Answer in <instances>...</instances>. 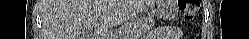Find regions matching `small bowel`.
Returning a JSON list of instances; mask_svg holds the SVG:
<instances>
[{
	"label": "small bowel",
	"mask_w": 249,
	"mask_h": 39,
	"mask_svg": "<svg viewBox=\"0 0 249 39\" xmlns=\"http://www.w3.org/2000/svg\"><path fill=\"white\" fill-rule=\"evenodd\" d=\"M178 32L179 29L175 27H159L151 32L148 39H168Z\"/></svg>",
	"instance_id": "1"
}]
</instances>
